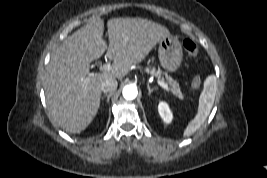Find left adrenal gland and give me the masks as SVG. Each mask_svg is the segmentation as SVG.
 <instances>
[{"label": "left adrenal gland", "mask_w": 267, "mask_h": 178, "mask_svg": "<svg viewBox=\"0 0 267 178\" xmlns=\"http://www.w3.org/2000/svg\"><path fill=\"white\" fill-rule=\"evenodd\" d=\"M147 89H148V94L151 95L154 89L150 87L149 83H147Z\"/></svg>", "instance_id": "obj_1"}]
</instances>
